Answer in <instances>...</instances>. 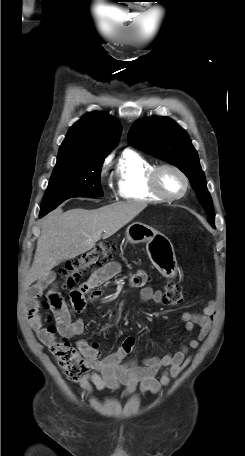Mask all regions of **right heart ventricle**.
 I'll list each match as a JSON object with an SVG mask.
<instances>
[{"instance_id":"e07e8e85","label":"right heart ventricle","mask_w":245,"mask_h":456,"mask_svg":"<svg viewBox=\"0 0 245 456\" xmlns=\"http://www.w3.org/2000/svg\"><path fill=\"white\" fill-rule=\"evenodd\" d=\"M154 164L132 151L125 150L116 165L115 181L119 196L128 201L155 202L162 200L148 186V174Z\"/></svg>"}]
</instances>
